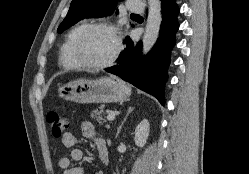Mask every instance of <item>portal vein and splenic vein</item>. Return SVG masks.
<instances>
[{
    "mask_svg": "<svg viewBox=\"0 0 249 174\" xmlns=\"http://www.w3.org/2000/svg\"><path fill=\"white\" fill-rule=\"evenodd\" d=\"M107 119H108L109 121H113V120L115 119V115H114L113 113H109V114L107 115Z\"/></svg>",
    "mask_w": 249,
    "mask_h": 174,
    "instance_id": "1",
    "label": "portal vein and splenic vein"
}]
</instances>
